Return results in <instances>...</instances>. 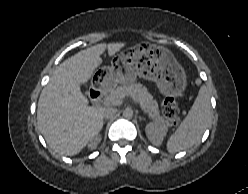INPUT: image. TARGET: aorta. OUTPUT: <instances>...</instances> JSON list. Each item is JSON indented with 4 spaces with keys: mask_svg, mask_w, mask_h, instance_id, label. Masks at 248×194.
Returning <instances> with one entry per match:
<instances>
[{
    "mask_svg": "<svg viewBox=\"0 0 248 194\" xmlns=\"http://www.w3.org/2000/svg\"><path fill=\"white\" fill-rule=\"evenodd\" d=\"M123 117L126 119H131L133 117V110L131 108H126L123 111Z\"/></svg>",
    "mask_w": 248,
    "mask_h": 194,
    "instance_id": "1",
    "label": "aorta"
}]
</instances>
